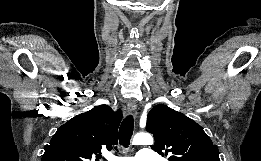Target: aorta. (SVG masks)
<instances>
[{
	"label": "aorta",
	"instance_id": "762f6f07",
	"mask_svg": "<svg viewBox=\"0 0 261 161\" xmlns=\"http://www.w3.org/2000/svg\"><path fill=\"white\" fill-rule=\"evenodd\" d=\"M134 145H152L153 138L149 133H137L133 138Z\"/></svg>",
	"mask_w": 261,
	"mask_h": 161
}]
</instances>
